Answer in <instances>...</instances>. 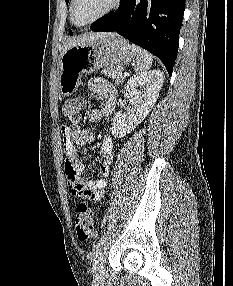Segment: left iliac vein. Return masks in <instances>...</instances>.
Here are the masks:
<instances>
[{"label":"left iliac vein","mask_w":233,"mask_h":286,"mask_svg":"<svg viewBox=\"0 0 233 286\" xmlns=\"http://www.w3.org/2000/svg\"><path fill=\"white\" fill-rule=\"evenodd\" d=\"M104 256L100 251L94 259L93 262V274L96 279H101L104 275Z\"/></svg>","instance_id":"1"}]
</instances>
